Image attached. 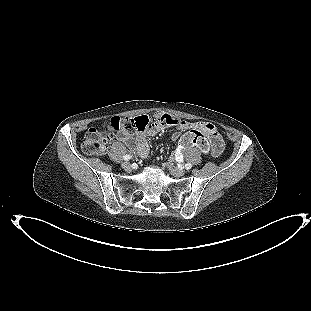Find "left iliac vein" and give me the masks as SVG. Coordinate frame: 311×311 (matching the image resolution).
I'll use <instances>...</instances> for the list:
<instances>
[{
    "instance_id": "obj_1",
    "label": "left iliac vein",
    "mask_w": 311,
    "mask_h": 311,
    "mask_svg": "<svg viewBox=\"0 0 311 311\" xmlns=\"http://www.w3.org/2000/svg\"><path fill=\"white\" fill-rule=\"evenodd\" d=\"M169 171L172 175L176 176V177H180L183 176L185 174V170L181 169V168H177L173 165H169Z\"/></svg>"
}]
</instances>
